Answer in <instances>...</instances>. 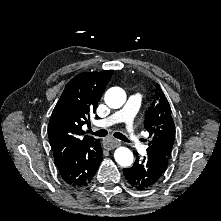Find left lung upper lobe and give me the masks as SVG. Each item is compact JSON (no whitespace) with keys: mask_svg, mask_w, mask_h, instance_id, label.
Masks as SVG:
<instances>
[{"mask_svg":"<svg viewBox=\"0 0 221 221\" xmlns=\"http://www.w3.org/2000/svg\"><path fill=\"white\" fill-rule=\"evenodd\" d=\"M144 127L151 137L147 156L167 167L175 139V125L169 102L158 84L151 106L145 112Z\"/></svg>","mask_w":221,"mask_h":221,"instance_id":"5c2ea615","label":"left lung upper lobe"}]
</instances>
